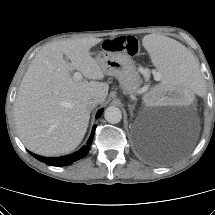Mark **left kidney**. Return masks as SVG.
Here are the masks:
<instances>
[{
  "mask_svg": "<svg viewBox=\"0 0 215 215\" xmlns=\"http://www.w3.org/2000/svg\"><path fill=\"white\" fill-rule=\"evenodd\" d=\"M194 96L190 93H183L182 90L174 85H159L150 89L145 99L148 105H171L187 106L193 104Z\"/></svg>",
  "mask_w": 215,
  "mask_h": 215,
  "instance_id": "obj_1",
  "label": "left kidney"
}]
</instances>
